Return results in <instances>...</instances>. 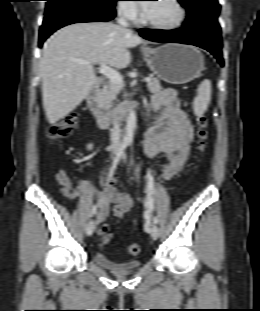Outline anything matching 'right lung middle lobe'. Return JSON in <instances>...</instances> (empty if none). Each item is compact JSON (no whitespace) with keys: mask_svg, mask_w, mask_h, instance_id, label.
<instances>
[{"mask_svg":"<svg viewBox=\"0 0 260 311\" xmlns=\"http://www.w3.org/2000/svg\"><path fill=\"white\" fill-rule=\"evenodd\" d=\"M92 1H94L95 3H97L98 5H100L104 8L113 9L115 2L117 0H92Z\"/></svg>","mask_w":260,"mask_h":311,"instance_id":"1","label":"right lung middle lobe"}]
</instances>
